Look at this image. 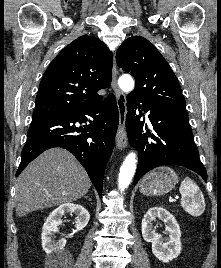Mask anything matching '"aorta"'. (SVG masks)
<instances>
[{
	"label": "aorta",
	"instance_id": "762f6f07",
	"mask_svg": "<svg viewBox=\"0 0 221 268\" xmlns=\"http://www.w3.org/2000/svg\"><path fill=\"white\" fill-rule=\"evenodd\" d=\"M119 87L124 92H131L134 88V80L130 75H122L118 80ZM136 171V154L131 152L125 158L118 177V187L124 191L132 181Z\"/></svg>",
	"mask_w": 221,
	"mask_h": 268
}]
</instances>
